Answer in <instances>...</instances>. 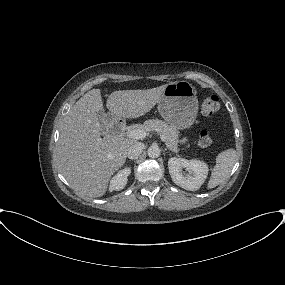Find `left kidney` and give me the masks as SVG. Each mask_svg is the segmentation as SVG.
<instances>
[{"label":"left kidney","mask_w":285,"mask_h":285,"mask_svg":"<svg viewBox=\"0 0 285 285\" xmlns=\"http://www.w3.org/2000/svg\"><path fill=\"white\" fill-rule=\"evenodd\" d=\"M169 173L173 182L190 191L198 190L208 175V165L200 160L172 157L168 161ZM185 169L190 175H186Z\"/></svg>","instance_id":"1"}]
</instances>
